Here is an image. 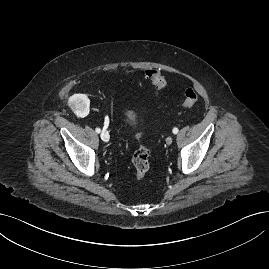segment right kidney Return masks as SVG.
I'll return each mask as SVG.
<instances>
[{
    "mask_svg": "<svg viewBox=\"0 0 269 269\" xmlns=\"http://www.w3.org/2000/svg\"><path fill=\"white\" fill-rule=\"evenodd\" d=\"M69 106L79 115L89 113L90 100L86 94H74L68 100Z\"/></svg>",
    "mask_w": 269,
    "mask_h": 269,
    "instance_id": "1",
    "label": "right kidney"
}]
</instances>
